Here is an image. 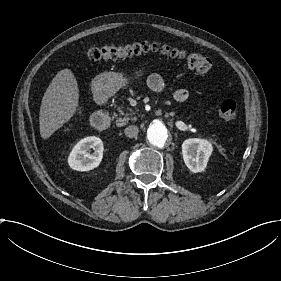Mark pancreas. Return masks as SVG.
Here are the masks:
<instances>
[{"label": "pancreas", "instance_id": "pancreas-1", "mask_svg": "<svg viewBox=\"0 0 281 281\" xmlns=\"http://www.w3.org/2000/svg\"><path fill=\"white\" fill-rule=\"evenodd\" d=\"M117 110L120 112L121 115H123V118H118L116 120V125L117 126H124L128 124V122L131 120L132 122H135L137 120V117H133L135 112L132 109H129L130 113H125L124 111L121 110L120 107L117 108Z\"/></svg>", "mask_w": 281, "mask_h": 281}]
</instances>
